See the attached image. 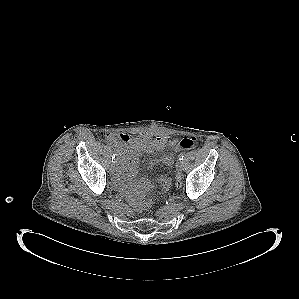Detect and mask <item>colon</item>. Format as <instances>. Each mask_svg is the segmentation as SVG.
Instances as JSON below:
<instances>
[{"instance_id":"5ec220e1","label":"colon","mask_w":299,"mask_h":299,"mask_svg":"<svg viewBox=\"0 0 299 299\" xmlns=\"http://www.w3.org/2000/svg\"><path fill=\"white\" fill-rule=\"evenodd\" d=\"M195 143H196L195 138L187 137L179 141L178 147L183 150H188V149H192L195 146ZM176 170H177L176 184L179 186L181 184V175L178 172L179 170L177 169V166H176ZM146 204H149V202H147Z\"/></svg>"}]
</instances>
